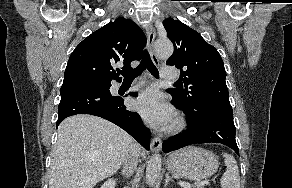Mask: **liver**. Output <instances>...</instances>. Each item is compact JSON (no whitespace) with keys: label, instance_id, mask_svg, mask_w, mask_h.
<instances>
[{"label":"liver","instance_id":"1","mask_svg":"<svg viewBox=\"0 0 292 188\" xmlns=\"http://www.w3.org/2000/svg\"><path fill=\"white\" fill-rule=\"evenodd\" d=\"M134 144L128 133L100 117L66 118L58 127L49 188H93L117 172ZM137 146L144 158L145 152Z\"/></svg>","mask_w":292,"mask_h":188}]
</instances>
